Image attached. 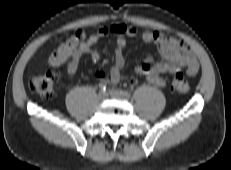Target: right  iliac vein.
<instances>
[{"mask_svg": "<svg viewBox=\"0 0 231 170\" xmlns=\"http://www.w3.org/2000/svg\"><path fill=\"white\" fill-rule=\"evenodd\" d=\"M98 97H99V99H105L106 98V94L105 93H103V92H100L99 94H98Z\"/></svg>", "mask_w": 231, "mask_h": 170, "instance_id": "63e3f726", "label": "right iliac vein"}]
</instances>
